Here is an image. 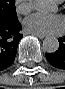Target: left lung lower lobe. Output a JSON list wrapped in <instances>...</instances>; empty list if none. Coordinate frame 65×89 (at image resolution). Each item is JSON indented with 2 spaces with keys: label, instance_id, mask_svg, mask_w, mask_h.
<instances>
[{
  "label": "left lung lower lobe",
  "instance_id": "1",
  "mask_svg": "<svg viewBox=\"0 0 65 89\" xmlns=\"http://www.w3.org/2000/svg\"><path fill=\"white\" fill-rule=\"evenodd\" d=\"M58 41L59 49L54 53L45 54V56L52 66L65 70V36Z\"/></svg>",
  "mask_w": 65,
  "mask_h": 89
}]
</instances>
